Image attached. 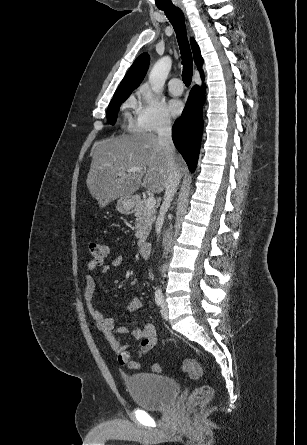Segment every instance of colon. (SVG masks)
Wrapping results in <instances>:
<instances>
[{"instance_id": "colon-1", "label": "colon", "mask_w": 307, "mask_h": 445, "mask_svg": "<svg viewBox=\"0 0 307 445\" xmlns=\"http://www.w3.org/2000/svg\"><path fill=\"white\" fill-rule=\"evenodd\" d=\"M89 251L93 260L97 264H102L110 255L111 248L106 243H91ZM182 369L194 380H203V383L195 388L189 396L187 406L189 409L195 410L206 406L213 396L212 386L205 380L204 372L197 360L187 358L183 361ZM161 367L159 364L153 365V371L159 372Z\"/></svg>"}]
</instances>
